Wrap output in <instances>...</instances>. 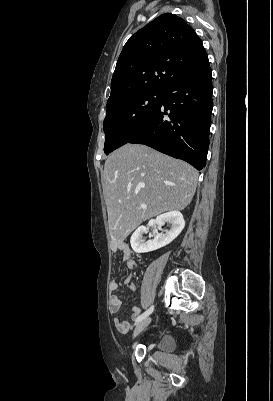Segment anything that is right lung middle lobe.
<instances>
[{
    "label": "right lung middle lobe",
    "mask_w": 273,
    "mask_h": 401,
    "mask_svg": "<svg viewBox=\"0 0 273 401\" xmlns=\"http://www.w3.org/2000/svg\"><path fill=\"white\" fill-rule=\"evenodd\" d=\"M162 97L163 91L148 90L107 105L103 122L106 135L104 152L109 154L126 144L158 108Z\"/></svg>",
    "instance_id": "1"
}]
</instances>
